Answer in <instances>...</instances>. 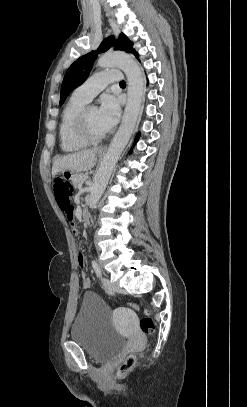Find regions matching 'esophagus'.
<instances>
[{"instance_id":"34e87169","label":"esophagus","mask_w":247,"mask_h":407,"mask_svg":"<svg viewBox=\"0 0 247 407\" xmlns=\"http://www.w3.org/2000/svg\"><path fill=\"white\" fill-rule=\"evenodd\" d=\"M100 150H102V151L107 150V146H103V147H101V148H100Z\"/></svg>"}]
</instances>
